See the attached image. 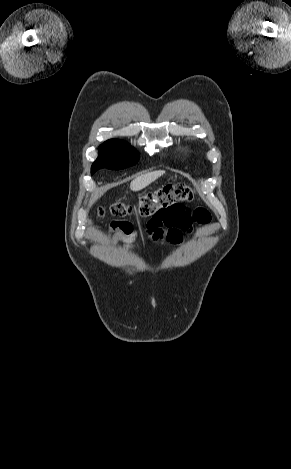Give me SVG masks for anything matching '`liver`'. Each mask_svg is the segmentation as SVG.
Masks as SVG:
<instances>
[{
    "label": "liver",
    "instance_id": "6515ba94",
    "mask_svg": "<svg viewBox=\"0 0 291 469\" xmlns=\"http://www.w3.org/2000/svg\"><path fill=\"white\" fill-rule=\"evenodd\" d=\"M164 173H165V171L158 170V171H153V172H149L147 174L141 175V176L135 178L131 182L130 189L132 191H135V192L140 191L143 188H145L146 186H148L149 184H151L153 181H155L156 179L161 177Z\"/></svg>",
    "mask_w": 291,
    "mask_h": 469
}]
</instances>
